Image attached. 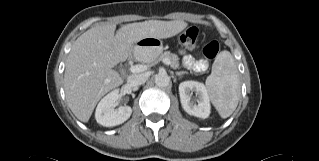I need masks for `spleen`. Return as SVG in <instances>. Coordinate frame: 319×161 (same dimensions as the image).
<instances>
[{"instance_id":"spleen-1","label":"spleen","mask_w":319,"mask_h":161,"mask_svg":"<svg viewBox=\"0 0 319 161\" xmlns=\"http://www.w3.org/2000/svg\"><path fill=\"white\" fill-rule=\"evenodd\" d=\"M209 99L222 118L229 117L236 109L241 86L237 65L229 51L220 52L206 79Z\"/></svg>"}]
</instances>
